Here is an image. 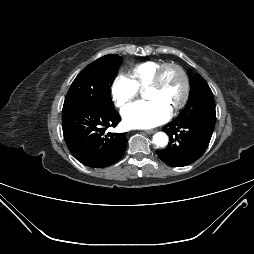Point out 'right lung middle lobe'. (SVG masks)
<instances>
[{
    "instance_id": "obj_1",
    "label": "right lung middle lobe",
    "mask_w": 254,
    "mask_h": 254,
    "mask_svg": "<svg viewBox=\"0 0 254 254\" xmlns=\"http://www.w3.org/2000/svg\"><path fill=\"white\" fill-rule=\"evenodd\" d=\"M121 61L122 57L112 54L103 56L86 66L73 81L65 101H73L96 109H114L110 85Z\"/></svg>"
}]
</instances>
